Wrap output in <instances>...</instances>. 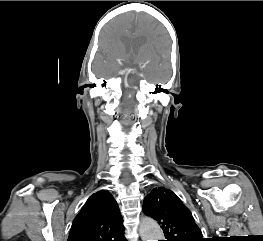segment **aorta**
Wrapping results in <instances>:
<instances>
[{"mask_svg":"<svg viewBox=\"0 0 263 241\" xmlns=\"http://www.w3.org/2000/svg\"><path fill=\"white\" fill-rule=\"evenodd\" d=\"M142 241H158L163 239L159 225L151 218H143L139 226Z\"/></svg>","mask_w":263,"mask_h":241,"instance_id":"1","label":"aorta"}]
</instances>
